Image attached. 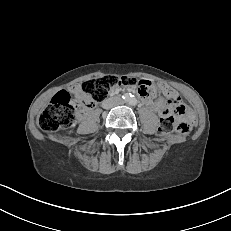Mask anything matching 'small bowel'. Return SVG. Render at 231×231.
<instances>
[{
    "label": "small bowel",
    "mask_w": 231,
    "mask_h": 231,
    "mask_svg": "<svg viewBox=\"0 0 231 231\" xmlns=\"http://www.w3.org/2000/svg\"><path fill=\"white\" fill-rule=\"evenodd\" d=\"M157 90V88L152 87V93H154ZM158 90H160L166 98H170L173 102H178L179 97L178 94L168 85H160L158 87ZM71 91L75 95L77 99L83 98V92L81 90V86L78 84H75L71 87ZM145 101L147 106L152 109L155 112H158L161 116L169 113V108H167L161 101L159 100H153L150 97H145Z\"/></svg>",
    "instance_id": "1"
}]
</instances>
